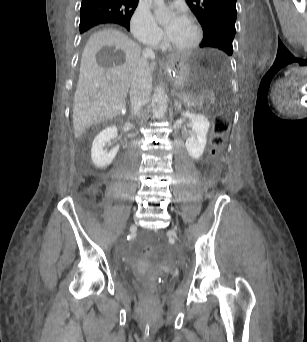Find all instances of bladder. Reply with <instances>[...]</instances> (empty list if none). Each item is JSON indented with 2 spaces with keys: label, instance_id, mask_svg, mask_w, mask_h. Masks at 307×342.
<instances>
[{
  "label": "bladder",
  "instance_id": "bladder-1",
  "mask_svg": "<svg viewBox=\"0 0 307 342\" xmlns=\"http://www.w3.org/2000/svg\"><path fill=\"white\" fill-rule=\"evenodd\" d=\"M126 279L131 281V283L137 287V288H140L142 287V285L144 284V280L142 277L136 275L135 273L133 272H130L126 275Z\"/></svg>",
  "mask_w": 307,
  "mask_h": 342
}]
</instances>
